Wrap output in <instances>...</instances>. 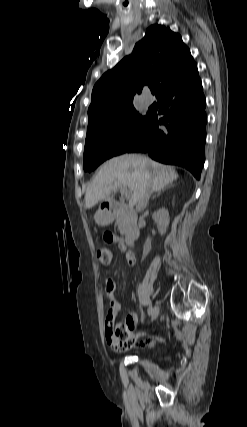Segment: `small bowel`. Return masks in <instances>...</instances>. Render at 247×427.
<instances>
[{"label": "small bowel", "instance_id": "obj_1", "mask_svg": "<svg viewBox=\"0 0 247 427\" xmlns=\"http://www.w3.org/2000/svg\"><path fill=\"white\" fill-rule=\"evenodd\" d=\"M103 243L106 246H110L112 243L122 244V239L118 236L114 235V231L112 229H105L103 231ZM126 260L129 265H136V255L132 250L125 251ZM116 286L114 281L111 278H107L105 282V293L109 302V309L107 314V321H114L117 314L120 311L121 304L116 296ZM137 324V315L133 312L129 313L125 319V325H127L131 330H134ZM134 339V338H133ZM152 339H146L139 342L140 345H148L152 344Z\"/></svg>", "mask_w": 247, "mask_h": 427}]
</instances>
